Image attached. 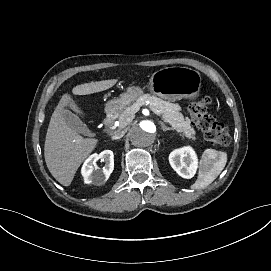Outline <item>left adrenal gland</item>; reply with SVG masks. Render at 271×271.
<instances>
[{
  "label": "left adrenal gland",
  "instance_id": "obj_1",
  "mask_svg": "<svg viewBox=\"0 0 271 271\" xmlns=\"http://www.w3.org/2000/svg\"><path fill=\"white\" fill-rule=\"evenodd\" d=\"M161 128H162V130L163 131H171V130H173L172 128H169V127H167L165 124H161Z\"/></svg>",
  "mask_w": 271,
  "mask_h": 271
}]
</instances>
